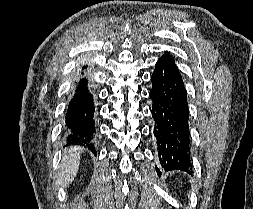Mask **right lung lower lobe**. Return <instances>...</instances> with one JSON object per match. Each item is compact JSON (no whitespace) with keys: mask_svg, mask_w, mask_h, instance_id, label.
<instances>
[{"mask_svg":"<svg viewBox=\"0 0 253 209\" xmlns=\"http://www.w3.org/2000/svg\"><path fill=\"white\" fill-rule=\"evenodd\" d=\"M94 99L88 88V79L82 73L75 85L65 115V135L69 144L82 145L95 155L94 138L96 126L94 120Z\"/></svg>","mask_w":253,"mask_h":209,"instance_id":"1","label":"right lung lower lobe"}]
</instances>
